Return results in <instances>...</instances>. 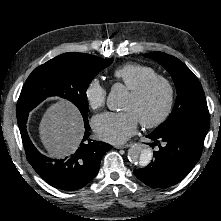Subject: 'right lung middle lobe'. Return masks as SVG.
<instances>
[{
	"mask_svg": "<svg viewBox=\"0 0 221 221\" xmlns=\"http://www.w3.org/2000/svg\"><path fill=\"white\" fill-rule=\"evenodd\" d=\"M113 61L93 55L81 58L59 55L36 68L27 78L17 102V119L29 113L49 96L71 101L88 120L86 90L94 77Z\"/></svg>",
	"mask_w": 221,
	"mask_h": 221,
	"instance_id": "obj_1",
	"label": "right lung middle lobe"
}]
</instances>
